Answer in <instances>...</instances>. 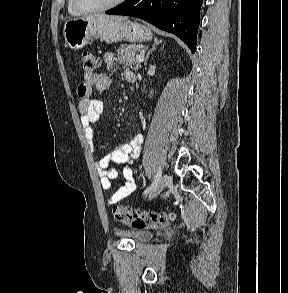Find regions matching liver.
<instances>
[{
  "instance_id": "liver-1",
  "label": "liver",
  "mask_w": 288,
  "mask_h": 293,
  "mask_svg": "<svg viewBox=\"0 0 288 293\" xmlns=\"http://www.w3.org/2000/svg\"><path fill=\"white\" fill-rule=\"evenodd\" d=\"M94 16H101V17H104V18L117 20V21H125V20H127V17L107 16V15H94ZM94 16H88V17H94Z\"/></svg>"
}]
</instances>
